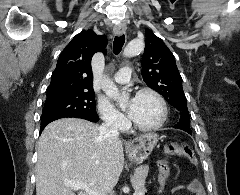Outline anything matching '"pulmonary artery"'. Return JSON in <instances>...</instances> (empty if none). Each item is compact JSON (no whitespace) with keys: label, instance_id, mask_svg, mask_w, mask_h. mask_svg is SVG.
Returning a JSON list of instances; mask_svg holds the SVG:
<instances>
[{"label":"pulmonary artery","instance_id":"1","mask_svg":"<svg viewBox=\"0 0 240 195\" xmlns=\"http://www.w3.org/2000/svg\"><path fill=\"white\" fill-rule=\"evenodd\" d=\"M121 70L122 71H117L116 72L115 80L118 83H125L129 80V76L131 75V72L127 71L128 70L127 66H122Z\"/></svg>","mask_w":240,"mask_h":195}]
</instances>
